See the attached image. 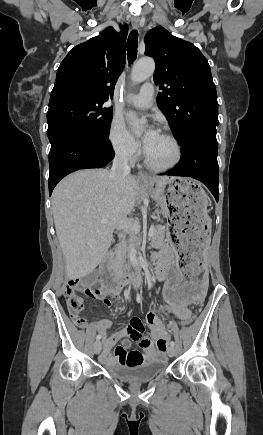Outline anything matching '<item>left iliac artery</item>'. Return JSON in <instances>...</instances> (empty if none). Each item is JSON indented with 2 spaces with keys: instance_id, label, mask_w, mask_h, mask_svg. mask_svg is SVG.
Returning a JSON list of instances; mask_svg holds the SVG:
<instances>
[{
  "instance_id": "left-iliac-artery-1",
  "label": "left iliac artery",
  "mask_w": 263,
  "mask_h": 435,
  "mask_svg": "<svg viewBox=\"0 0 263 435\" xmlns=\"http://www.w3.org/2000/svg\"><path fill=\"white\" fill-rule=\"evenodd\" d=\"M170 345L174 347V346H175V342H174V341H171V342H170Z\"/></svg>"
}]
</instances>
